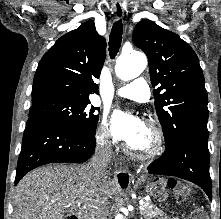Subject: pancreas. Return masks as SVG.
Listing matches in <instances>:
<instances>
[{
    "label": "pancreas",
    "instance_id": "cf45deb5",
    "mask_svg": "<svg viewBox=\"0 0 221 219\" xmlns=\"http://www.w3.org/2000/svg\"><path fill=\"white\" fill-rule=\"evenodd\" d=\"M142 208L143 210L140 211V214L146 219H167L166 217H164L166 214L155 205H153L151 202H144Z\"/></svg>",
    "mask_w": 221,
    "mask_h": 219
}]
</instances>
